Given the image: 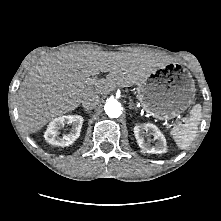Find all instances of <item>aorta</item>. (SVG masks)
<instances>
[{"label":"aorta","mask_w":221,"mask_h":221,"mask_svg":"<svg viewBox=\"0 0 221 221\" xmlns=\"http://www.w3.org/2000/svg\"><path fill=\"white\" fill-rule=\"evenodd\" d=\"M104 110L106 114L111 118H117L122 114L120 102L113 98L107 100L104 106Z\"/></svg>","instance_id":"762f6f07"}]
</instances>
